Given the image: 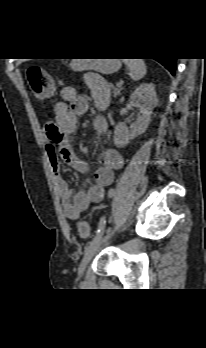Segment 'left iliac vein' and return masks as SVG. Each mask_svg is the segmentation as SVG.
I'll return each instance as SVG.
<instances>
[{"label": "left iliac vein", "mask_w": 206, "mask_h": 348, "mask_svg": "<svg viewBox=\"0 0 206 348\" xmlns=\"http://www.w3.org/2000/svg\"><path fill=\"white\" fill-rule=\"evenodd\" d=\"M110 234H108L105 237H101L99 240L97 241H93L91 242L85 250L84 256L81 260L80 266L78 268V274L79 276H82L85 268L87 266V264L89 263V261L92 259V257L95 255V253L98 251V249L100 248L101 244L109 237Z\"/></svg>", "instance_id": "left-iliac-vein-1"}]
</instances>
